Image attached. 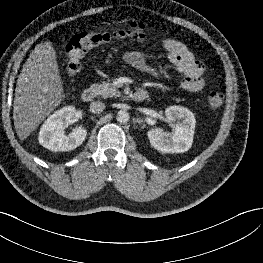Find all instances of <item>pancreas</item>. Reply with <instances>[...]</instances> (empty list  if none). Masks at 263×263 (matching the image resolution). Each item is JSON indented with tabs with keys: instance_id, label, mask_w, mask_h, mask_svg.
<instances>
[{
	"instance_id": "pancreas-1",
	"label": "pancreas",
	"mask_w": 263,
	"mask_h": 263,
	"mask_svg": "<svg viewBox=\"0 0 263 263\" xmlns=\"http://www.w3.org/2000/svg\"><path fill=\"white\" fill-rule=\"evenodd\" d=\"M96 95L102 96L103 98L118 97L120 92L112 83L102 82L101 84H93L91 86Z\"/></svg>"
}]
</instances>
